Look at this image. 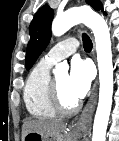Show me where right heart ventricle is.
<instances>
[{"label": "right heart ventricle", "mask_w": 119, "mask_h": 141, "mask_svg": "<svg viewBox=\"0 0 119 141\" xmlns=\"http://www.w3.org/2000/svg\"><path fill=\"white\" fill-rule=\"evenodd\" d=\"M50 64L43 59L31 70L24 86V102L28 112L38 119H52L56 112L48 99V89L51 81Z\"/></svg>", "instance_id": "obj_1"}]
</instances>
